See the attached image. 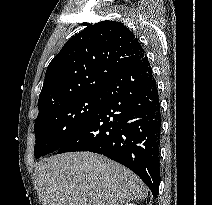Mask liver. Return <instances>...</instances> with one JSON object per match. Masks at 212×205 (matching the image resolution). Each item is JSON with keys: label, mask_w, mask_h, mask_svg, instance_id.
I'll list each match as a JSON object with an SVG mask.
<instances>
[{"label": "liver", "mask_w": 212, "mask_h": 205, "mask_svg": "<svg viewBox=\"0 0 212 205\" xmlns=\"http://www.w3.org/2000/svg\"><path fill=\"white\" fill-rule=\"evenodd\" d=\"M35 175L42 205H123L148 195L132 171L93 152L44 159Z\"/></svg>", "instance_id": "6515ba94"}]
</instances>
